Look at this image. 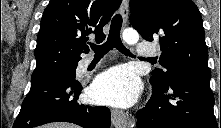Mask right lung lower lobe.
I'll return each mask as SVG.
<instances>
[{
  "label": "right lung lower lobe",
  "mask_w": 221,
  "mask_h": 128,
  "mask_svg": "<svg viewBox=\"0 0 221 128\" xmlns=\"http://www.w3.org/2000/svg\"><path fill=\"white\" fill-rule=\"evenodd\" d=\"M82 87L75 75L51 74L32 81L14 128H32L49 122H71L84 128H110V110L78 102Z\"/></svg>",
  "instance_id": "obj_1"
}]
</instances>
